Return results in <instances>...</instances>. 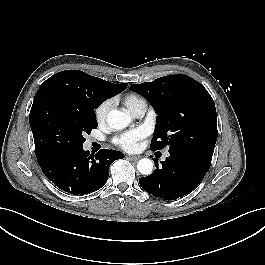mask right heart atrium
<instances>
[{
  "label": "right heart atrium",
  "mask_w": 265,
  "mask_h": 265,
  "mask_svg": "<svg viewBox=\"0 0 265 265\" xmlns=\"http://www.w3.org/2000/svg\"><path fill=\"white\" fill-rule=\"evenodd\" d=\"M113 102L112 100H104L101 102L94 111L95 118L98 123H103L107 120L108 114L112 108Z\"/></svg>",
  "instance_id": "obj_1"
}]
</instances>
